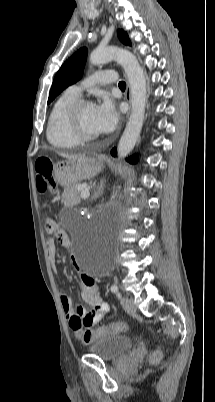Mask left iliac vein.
<instances>
[{"label": "left iliac vein", "instance_id": "left-iliac-vein-1", "mask_svg": "<svg viewBox=\"0 0 215 402\" xmlns=\"http://www.w3.org/2000/svg\"><path fill=\"white\" fill-rule=\"evenodd\" d=\"M121 304H122L123 309L128 313H133L136 311L133 301L128 297H123L121 299Z\"/></svg>", "mask_w": 215, "mask_h": 402}]
</instances>
